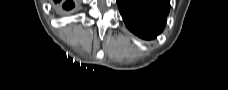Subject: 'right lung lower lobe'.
Instances as JSON below:
<instances>
[{"label":"right lung lower lobe","instance_id":"obj_1","mask_svg":"<svg viewBox=\"0 0 228 90\" xmlns=\"http://www.w3.org/2000/svg\"><path fill=\"white\" fill-rule=\"evenodd\" d=\"M55 2H57V1H55ZM73 6H74V3L71 2V1L66 2V3L63 5V7H64L65 9H70V8H72Z\"/></svg>","mask_w":228,"mask_h":90}]
</instances>
